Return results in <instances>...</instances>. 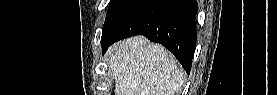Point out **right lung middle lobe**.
<instances>
[{
  "label": "right lung middle lobe",
  "mask_w": 277,
  "mask_h": 95,
  "mask_svg": "<svg viewBox=\"0 0 277 95\" xmlns=\"http://www.w3.org/2000/svg\"><path fill=\"white\" fill-rule=\"evenodd\" d=\"M145 0H110L103 25L102 42Z\"/></svg>",
  "instance_id": "obj_1"
}]
</instances>
